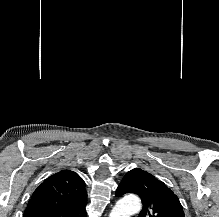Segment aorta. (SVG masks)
Here are the masks:
<instances>
[{"mask_svg": "<svg viewBox=\"0 0 219 217\" xmlns=\"http://www.w3.org/2000/svg\"><path fill=\"white\" fill-rule=\"evenodd\" d=\"M140 209V199L137 196H127L116 203L109 217H130Z\"/></svg>", "mask_w": 219, "mask_h": 217, "instance_id": "1", "label": "aorta"}]
</instances>
